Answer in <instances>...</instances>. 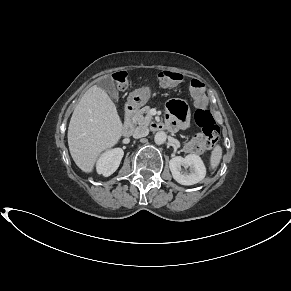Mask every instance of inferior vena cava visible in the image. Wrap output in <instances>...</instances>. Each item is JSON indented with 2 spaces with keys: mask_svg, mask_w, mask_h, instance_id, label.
Instances as JSON below:
<instances>
[{
  "mask_svg": "<svg viewBox=\"0 0 291 291\" xmlns=\"http://www.w3.org/2000/svg\"><path fill=\"white\" fill-rule=\"evenodd\" d=\"M149 134V129L146 126H138L135 128L133 132V137L134 138H141L145 137Z\"/></svg>",
  "mask_w": 291,
  "mask_h": 291,
  "instance_id": "obj_1",
  "label": "inferior vena cava"
}]
</instances>
